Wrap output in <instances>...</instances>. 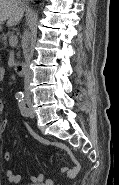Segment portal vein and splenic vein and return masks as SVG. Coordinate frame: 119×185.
<instances>
[{
  "label": "portal vein and splenic vein",
  "mask_w": 119,
  "mask_h": 185,
  "mask_svg": "<svg viewBox=\"0 0 119 185\" xmlns=\"http://www.w3.org/2000/svg\"><path fill=\"white\" fill-rule=\"evenodd\" d=\"M17 43H18V39H17L16 36H12V37L9 38V45H10L11 47L16 46Z\"/></svg>",
  "instance_id": "obj_1"
}]
</instances>
